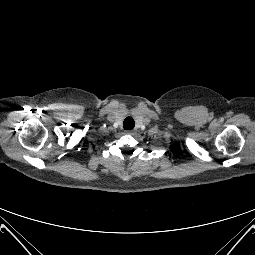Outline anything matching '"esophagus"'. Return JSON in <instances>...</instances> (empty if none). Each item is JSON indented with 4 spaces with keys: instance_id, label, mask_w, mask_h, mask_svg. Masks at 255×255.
<instances>
[{
    "instance_id": "1",
    "label": "esophagus",
    "mask_w": 255,
    "mask_h": 255,
    "mask_svg": "<svg viewBox=\"0 0 255 255\" xmlns=\"http://www.w3.org/2000/svg\"><path fill=\"white\" fill-rule=\"evenodd\" d=\"M126 133H127V134H133V133H134V130H127Z\"/></svg>"
}]
</instances>
